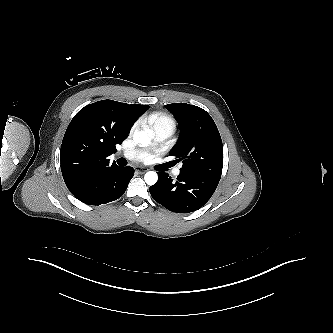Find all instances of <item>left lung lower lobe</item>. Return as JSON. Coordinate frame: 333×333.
<instances>
[{
  "label": "left lung lower lobe",
  "instance_id": "obj_1",
  "mask_svg": "<svg viewBox=\"0 0 333 333\" xmlns=\"http://www.w3.org/2000/svg\"><path fill=\"white\" fill-rule=\"evenodd\" d=\"M159 181L150 187L152 198L172 212L189 213L198 210L211 198L219 181L198 175L180 173L176 180L158 172Z\"/></svg>",
  "mask_w": 333,
  "mask_h": 333
}]
</instances>
